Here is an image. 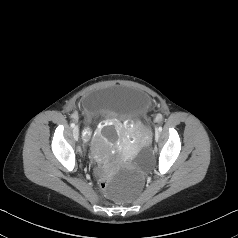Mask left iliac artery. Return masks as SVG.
Wrapping results in <instances>:
<instances>
[{"label":"left iliac artery","instance_id":"left-iliac-artery-1","mask_svg":"<svg viewBox=\"0 0 238 238\" xmlns=\"http://www.w3.org/2000/svg\"><path fill=\"white\" fill-rule=\"evenodd\" d=\"M157 130H158L159 132H161V131H162V127H159Z\"/></svg>","mask_w":238,"mask_h":238}]
</instances>
